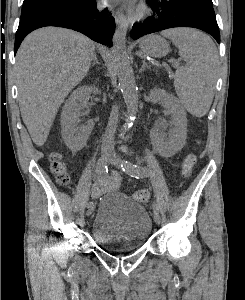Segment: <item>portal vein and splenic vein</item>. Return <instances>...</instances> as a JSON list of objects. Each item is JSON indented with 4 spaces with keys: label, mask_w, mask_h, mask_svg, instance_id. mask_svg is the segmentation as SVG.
Returning <instances> with one entry per match:
<instances>
[{
    "label": "portal vein and splenic vein",
    "mask_w": 245,
    "mask_h": 300,
    "mask_svg": "<svg viewBox=\"0 0 245 300\" xmlns=\"http://www.w3.org/2000/svg\"><path fill=\"white\" fill-rule=\"evenodd\" d=\"M171 61H172V63H173L174 66L177 65V61H175V60H173V59H172Z\"/></svg>",
    "instance_id": "1"
}]
</instances>
